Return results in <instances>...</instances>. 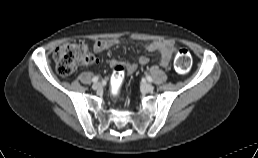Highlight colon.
Here are the masks:
<instances>
[{
    "label": "colon",
    "mask_w": 258,
    "mask_h": 158,
    "mask_svg": "<svg viewBox=\"0 0 258 158\" xmlns=\"http://www.w3.org/2000/svg\"><path fill=\"white\" fill-rule=\"evenodd\" d=\"M54 61L59 74L69 76L79 64H92L96 61L88 46L82 41H68L59 45L54 52ZM191 66V54L186 48H179L174 60V68L178 73H185ZM126 67L117 64L114 67L112 85L119 90L125 79Z\"/></svg>",
    "instance_id": "5ec220e1"
}]
</instances>
